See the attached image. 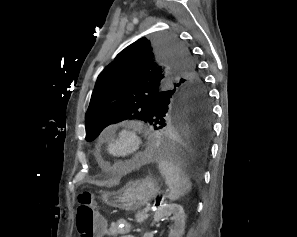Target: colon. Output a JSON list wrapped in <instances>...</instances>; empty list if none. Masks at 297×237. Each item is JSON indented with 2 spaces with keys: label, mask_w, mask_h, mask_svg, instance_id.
Masks as SVG:
<instances>
[{
  "label": "colon",
  "mask_w": 297,
  "mask_h": 237,
  "mask_svg": "<svg viewBox=\"0 0 297 237\" xmlns=\"http://www.w3.org/2000/svg\"><path fill=\"white\" fill-rule=\"evenodd\" d=\"M102 222L96 212L94 195L83 191L78 196L77 230L79 237H98Z\"/></svg>",
  "instance_id": "5ec220e1"
}]
</instances>
